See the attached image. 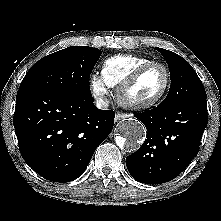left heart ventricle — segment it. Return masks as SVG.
Segmentation results:
<instances>
[{
	"instance_id": "1",
	"label": "left heart ventricle",
	"mask_w": 221,
	"mask_h": 221,
	"mask_svg": "<svg viewBox=\"0 0 221 221\" xmlns=\"http://www.w3.org/2000/svg\"><path fill=\"white\" fill-rule=\"evenodd\" d=\"M165 73L161 67L149 69L129 90L127 98L132 101H144L154 97L163 88Z\"/></svg>"
}]
</instances>
